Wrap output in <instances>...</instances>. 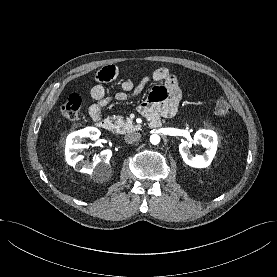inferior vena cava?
I'll list each match as a JSON object with an SVG mask.
<instances>
[{"instance_id":"obj_1","label":"inferior vena cava","mask_w":277,"mask_h":277,"mask_svg":"<svg viewBox=\"0 0 277 277\" xmlns=\"http://www.w3.org/2000/svg\"><path fill=\"white\" fill-rule=\"evenodd\" d=\"M141 138V134L138 132H131L125 135V142L128 144H133L139 141Z\"/></svg>"}]
</instances>
